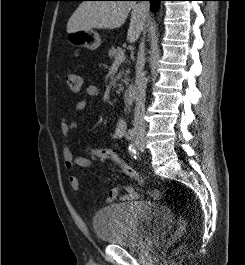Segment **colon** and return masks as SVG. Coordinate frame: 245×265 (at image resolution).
I'll list each match as a JSON object with an SVG mask.
<instances>
[{"label":"colon","instance_id":"colon-1","mask_svg":"<svg viewBox=\"0 0 245 265\" xmlns=\"http://www.w3.org/2000/svg\"><path fill=\"white\" fill-rule=\"evenodd\" d=\"M66 82L71 92L75 94H80L82 92L83 82L82 78L78 74L73 72L69 73L66 77ZM87 152L93 158H97L101 161H109L115 164L124 174L137 180L138 182H144L143 178L132 167L125 163L114 150L97 147L90 148Z\"/></svg>","mask_w":245,"mask_h":265}]
</instances>
